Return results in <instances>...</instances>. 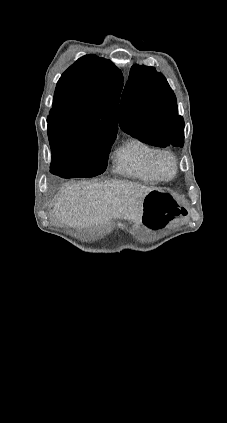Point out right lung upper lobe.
<instances>
[{"mask_svg":"<svg viewBox=\"0 0 227 423\" xmlns=\"http://www.w3.org/2000/svg\"><path fill=\"white\" fill-rule=\"evenodd\" d=\"M122 87V72L111 61L81 57L57 83L47 119L49 141L116 136Z\"/></svg>","mask_w":227,"mask_h":423,"instance_id":"1","label":"right lung upper lobe"}]
</instances>
